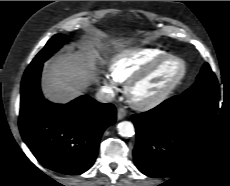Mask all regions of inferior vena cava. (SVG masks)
<instances>
[{"mask_svg": "<svg viewBox=\"0 0 230 186\" xmlns=\"http://www.w3.org/2000/svg\"><path fill=\"white\" fill-rule=\"evenodd\" d=\"M115 93L114 91L109 88V87H102L97 93H96V98L98 101L106 103L110 102L114 99Z\"/></svg>", "mask_w": 230, "mask_h": 186, "instance_id": "1", "label": "inferior vena cava"}]
</instances>
